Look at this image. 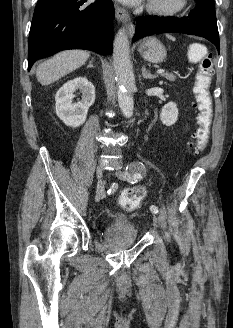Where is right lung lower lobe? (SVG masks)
<instances>
[{"label":"right lung lower lobe","mask_w":233,"mask_h":328,"mask_svg":"<svg viewBox=\"0 0 233 328\" xmlns=\"http://www.w3.org/2000/svg\"><path fill=\"white\" fill-rule=\"evenodd\" d=\"M38 0L28 47V71L38 59L66 49L111 54L114 7L110 0Z\"/></svg>","instance_id":"right-lung-lower-lobe-1"}]
</instances>
